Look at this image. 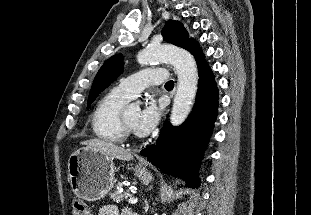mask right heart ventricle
Wrapping results in <instances>:
<instances>
[{"label": "right heart ventricle", "instance_id": "1", "mask_svg": "<svg viewBox=\"0 0 311 215\" xmlns=\"http://www.w3.org/2000/svg\"><path fill=\"white\" fill-rule=\"evenodd\" d=\"M130 99L116 87L100 99L91 120L93 133L98 139L113 144L124 140L125 134L120 116Z\"/></svg>", "mask_w": 311, "mask_h": 215}]
</instances>
